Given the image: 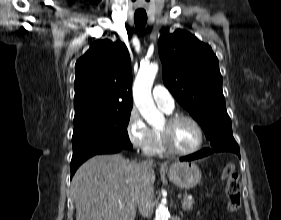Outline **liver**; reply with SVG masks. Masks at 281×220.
<instances>
[{"mask_svg": "<svg viewBox=\"0 0 281 220\" xmlns=\"http://www.w3.org/2000/svg\"><path fill=\"white\" fill-rule=\"evenodd\" d=\"M153 167V163L130 162L120 154L87 160L71 183L76 220H134L139 190L154 185Z\"/></svg>", "mask_w": 281, "mask_h": 220, "instance_id": "1", "label": "liver"}]
</instances>
